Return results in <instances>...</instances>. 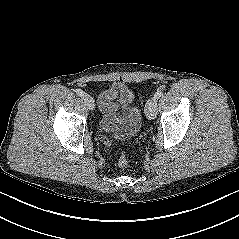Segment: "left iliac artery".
I'll list each match as a JSON object with an SVG mask.
<instances>
[{
    "label": "left iliac artery",
    "instance_id": "left-iliac-artery-1",
    "mask_svg": "<svg viewBox=\"0 0 239 239\" xmlns=\"http://www.w3.org/2000/svg\"><path fill=\"white\" fill-rule=\"evenodd\" d=\"M162 95H163V90L160 89L155 93L154 98L158 100Z\"/></svg>",
    "mask_w": 239,
    "mask_h": 239
}]
</instances>
